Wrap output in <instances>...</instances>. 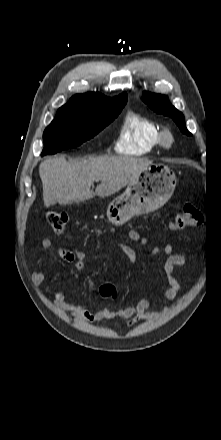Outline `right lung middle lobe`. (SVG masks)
Returning <instances> with one entry per match:
<instances>
[{
	"mask_svg": "<svg viewBox=\"0 0 221 440\" xmlns=\"http://www.w3.org/2000/svg\"><path fill=\"white\" fill-rule=\"evenodd\" d=\"M122 108L88 110L60 108L55 119L44 131V149L41 155L55 154L63 149L81 145L111 123Z\"/></svg>",
	"mask_w": 221,
	"mask_h": 440,
	"instance_id": "1",
	"label": "right lung middle lobe"
}]
</instances>
